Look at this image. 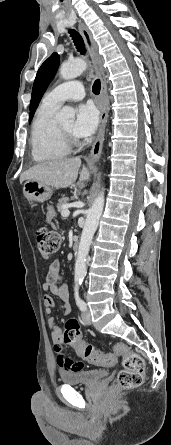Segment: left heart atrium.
Masks as SVG:
<instances>
[{
    "label": "left heart atrium",
    "instance_id": "1",
    "mask_svg": "<svg viewBox=\"0 0 171 445\" xmlns=\"http://www.w3.org/2000/svg\"><path fill=\"white\" fill-rule=\"evenodd\" d=\"M99 111L92 103L81 104L77 109L73 127L75 136L83 138L93 134L98 126Z\"/></svg>",
    "mask_w": 171,
    "mask_h": 445
}]
</instances>
